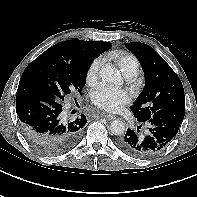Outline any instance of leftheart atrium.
Masks as SVG:
<instances>
[{
    "label": "left heart atrium",
    "instance_id": "1",
    "mask_svg": "<svg viewBox=\"0 0 197 197\" xmlns=\"http://www.w3.org/2000/svg\"><path fill=\"white\" fill-rule=\"evenodd\" d=\"M131 100L130 93L125 89L101 86L92 95L95 106L108 112H117Z\"/></svg>",
    "mask_w": 197,
    "mask_h": 197
}]
</instances>
